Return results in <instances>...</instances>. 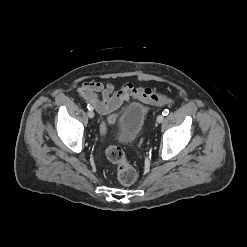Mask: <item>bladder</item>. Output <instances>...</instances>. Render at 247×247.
I'll use <instances>...</instances> for the list:
<instances>
[{
    "label": "bladder",
    "instance_id": "bladder-1",
    "mask_svg": "<svg viewBox=\"0 0 247 247\" xmlns=\"http://www.w3.org/2000/svg\"><path fill=\"white\" fill-rule=\"evenodd\" d=\"M146 114L147 109L141 103H131L122 111L116 123V133L122 143L131 144L138 138Z\"/></svg>",
    "mask_w": 247,
    "mask_h": 247
}]
</instances>
